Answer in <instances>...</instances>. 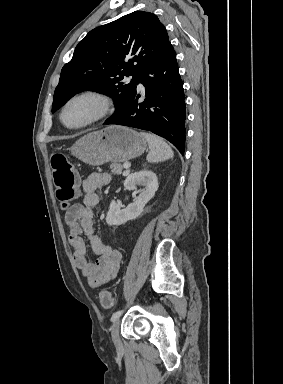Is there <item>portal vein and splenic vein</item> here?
<instances>
[{
  "instance_id": "18ae733b",
  "label": "portal vein and splenic vein",
  "mask_w": 283,
  "mask_h": 384,
  "mask_svg": "<svg viewBox=\"0 0 283 384\" xmlns=\"http://www.w3.org/2000/svg\"><path fill=\"white\" fill-rule=\"evenodd\" d=\"M130 166H131L130 162H125V164H123V168H125V170H128Z\"/></svg>"
}]
</instances>
